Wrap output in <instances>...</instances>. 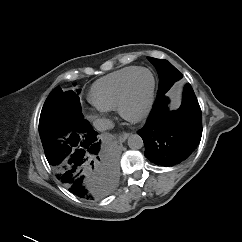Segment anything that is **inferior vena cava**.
Here are the masks:
<instances>
[{
    "mask_svg": "<svg viewBox=\"0 0 242 242\" xmlns=\"http://www.w3.org/2000/svg\"><path fill=\"white\" fill-rule=\"evenodd\" d=\"M93 125L97 131H105L114 127V123L107 118H98L94 120Z\"/></svg>",
    "mask_w": 242,
    "mask_h": 242,
    "instance_id": "obj_1",
    "label": "inferior vena cava"
}]
</instances>
